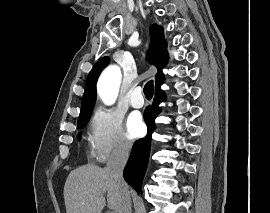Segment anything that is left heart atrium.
Listing matches in <instances>:
<instances>
[{
  "label": "left heart atrium",
  "instance_id": "39dd6f15",
  "mask_svg": "<svg viewBox=\"0 0 270 213\" xmlns=\"http://www.w3.org/2000/svg\"><path fill=\"white\" fill-rule=\"evenodd\" d=\"M127 136L129 139L140 137L144 132V124L137 114H131L126 124Z\"/></svg>",
  "mask_w": 270,
  "mask_h": 213
}]
</instances>
